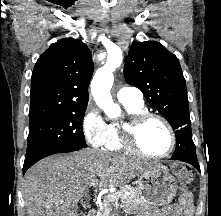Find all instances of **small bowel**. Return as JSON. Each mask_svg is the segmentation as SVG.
<instances>
[{
    "instance_id": "c3829d8e",
    "label": "small bowel",
    "mask_w": 221,
    "mask_h": 216,
    "mask_svg": "<svg viewBox=\"0 0 221 216\" xmlns=\"http://www.w3.org/2000/svg\"><path fill=\"white\" fill-rule=\"evenodd\" d=\"M194 209L190 192H184L179 202L164 208L161 216H193Z\"/></svg>"
}]
</instances>
